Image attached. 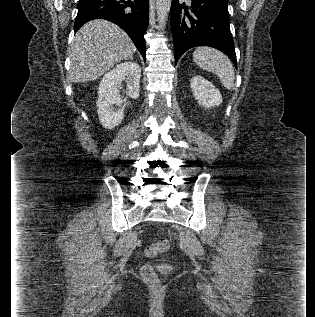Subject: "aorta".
<instances>
[{
  "label": "aorta",
  "mask_w": 315,
  "mask_h": 317,
  "mask_svg": "<svg viewBox=\"0 0 315 317\" xmlns=\"http://www.w3.org/2000/svg\"><path fill=\"white\" fill-rule=\"evenodd\" d=\"M172 0H156V10L159 27L163 28L166 24L170 12Z\"/></svg>",
  "instance_id": "aorta-1"
}]
</instances>
